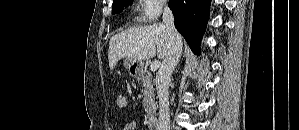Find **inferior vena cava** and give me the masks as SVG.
Wrapping results in <instances>:
<instances>
[{"mask_svg": "<svg viewBox=\"0 0 299 130\" xmlns=\"http://www.w3.org/2000/svg\"><path fill=\"white\" fill-rule=\"evenodd\" d=\"M163 27L169 37V51L156 74V90L159 98V122L158 130H170L169 115V83L171 74L182 54V38L174 26V16L168 6L163 12Z\"/></svg>", "mask_w": 299, "mask_h": 130, "instance_id": "602c4592", "label": "inferior vena cava"}]
</instances>
